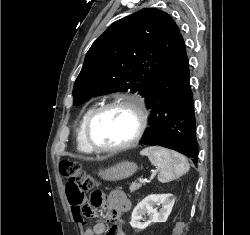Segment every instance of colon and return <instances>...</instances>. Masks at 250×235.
Listing matches in <instances>:
<instances>
[{"mask_svg":"<svg viewBox=\"0 0 250 235\" xmlns=\"http://www.w3.org/2000/svg\"><path fill=\"white\" fill-rule=\"evenodd\" d=\"M60 171L66 181V194L72 205H82L86 194H89L91 208L104 203L105 195L100 190L98 181L86 174L79 162L63 160L60 163Z\"/></svg>","mask_w":250,"mask_h":235,"instance_id":"colon-1","label":"colon"}]
</instances>
